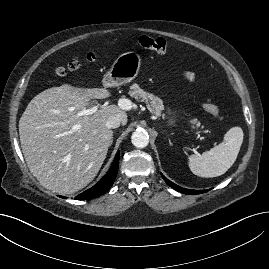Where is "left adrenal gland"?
<instances>
[{
    "mask_svg": "<svg viewBox=\"0 0 269 269\" xmlns=\"http://www.w3.org/2000/svg\"><path fill=\"white\" fill-rule=\"evenodd\" d=\"M169 144H170V145H172V143H171L170 139H169Z\"/></svg>",
    "mask_w": 269,
    "mask_h": 269,
    "instance_id": "obj_1",
    "label": "left adrenal gland"
}]
</instances>
